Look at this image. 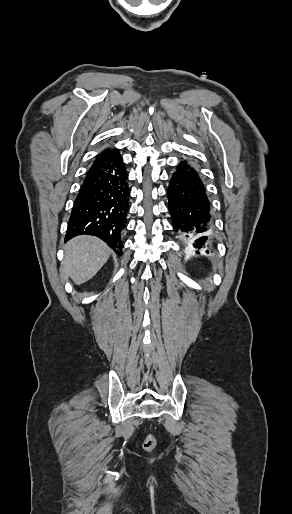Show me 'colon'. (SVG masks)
Segmentation results:
<instances>
[{"mask_svg":"<svg viewBox=\"0 0 292 514\" xmlns=\"http://www.w3.org/2000/svg\"><path fill=\"white\" fill-rule=\"evenodd\" d=\"M156 446V437L152 433H148L142 444V448L146 452H152Z\"/></svg>","mask_w":292,"mask_h":514,"instance_id":"colon-1","label":"colon"}]
</instances>
